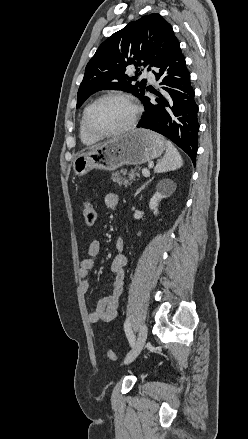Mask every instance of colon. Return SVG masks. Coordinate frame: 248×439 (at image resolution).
I'll return each instance as SVG.
<instances>
[{
	"label": "colon",
	"mask_w": 248,
	"mask_h": 439,
	"mask_svg": "<svg viewBox=\"0 0 248 439\" xmlns=\"http://www.w3.org/2000/svg\"><path fill=\"white\" fill-rule=\"evenodd\" d=\"M83 218L87 226H93L96 220V212L93 204L89 201L84 203ZM106 356L110 361H117V355L111 349L106 350Z\"/></svg>",
	"instance_id": "obj_1"
}]
</instances>
